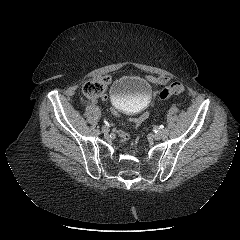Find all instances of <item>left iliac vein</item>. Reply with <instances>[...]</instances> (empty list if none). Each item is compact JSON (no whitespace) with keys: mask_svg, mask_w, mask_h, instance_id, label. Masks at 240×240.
Here are the masks:
<instances>
[{"mask_svg":"<svg viewBox=\"0 0 240 240\" xmlns=\"http://www.w3.org/2000/svg\"><path fill=\"white\" fill-rule=\"evenodd\" d=\"M167 135H168V131L166 132L165 135H162V134H161V130H160V131H159L158 133H156L153 137H154V139H156V140H160V139H165Z\"/></svg>","mask_w":240,"mask_h":240,"instance_id":"1","label":"left iliac vein"}]
</instances>
